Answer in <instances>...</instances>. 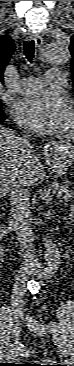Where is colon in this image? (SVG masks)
<instances>
[{
	"label": "colon",
	"instance_id": "colon-1",
	"mask_svg": "<svg viewBox=\"0 0 74 366\" xmlns=\"http://www.w3.org/2000/svg\"><path fill=\"white\" fill-rule=\"evenodd\" d=\"M27 366H50V365H48L44 361H39V362H36L34 364H28Z\"/></svg>",
	"mask_w": 74,
	"mask_h": 366
}]
</instances>
